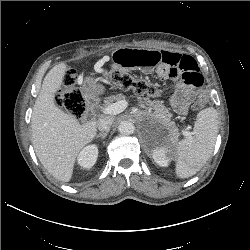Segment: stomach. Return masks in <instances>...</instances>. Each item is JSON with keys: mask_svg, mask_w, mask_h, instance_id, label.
Returning a JSON list of instances; mask_svg holds the SVG:
<instances>
[{"mask_svg": "<svg viewBox=\"0 0 250 250\" xmlns=\"http://www.w3.org/2000/svg\"><path fill=\"white\" fill-rule=\"evenodd\" d=\"M104 92V87L92 80H88L82 87V95L86 100H93Z\"/></svg>", "mask_w": 250, "mask_h": 250, "instance_id": "obj_1", "label": "stomach"}]
</instances>
